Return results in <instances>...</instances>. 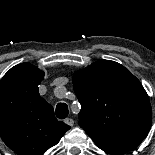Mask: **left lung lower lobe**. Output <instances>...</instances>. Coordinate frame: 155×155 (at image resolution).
Here are the masks:
<instances>
[{"mask_svg":"<svg viewBox=\"0 0 155 155\" xmlns=\"http://www.w3.org/2000/svg\"><path fill=\"white\" fill-rule=\"evenodd\" d=\"M141 142L142 140H127L119 143L97 146L107 153L120 154L135 149Z\"/></svg>","mask_w":155,"mask_h":155,"instance_id":"left-lung-lower-lobe-1","label":"left lung lower lobe"}]
</instances>
